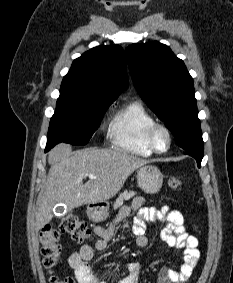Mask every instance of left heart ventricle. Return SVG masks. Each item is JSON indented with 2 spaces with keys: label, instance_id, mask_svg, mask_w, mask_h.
<instances>
[{
  "label": "left heart ventricle",
  "instance_id": "left-heart-ventricle-1",
  "mask_svg": "<svg viewBox=\"0 0 233 283\" xmlns=\"http://www.w3.org/2000/svg\"><path fill=\"white\" fill-rule=\"evenodd\" d=\"M155 144L159 149H164L167 146V137L164 132L159 131L155 136Z\"/></svg>",
  "mask_w": 233,
  "mask_h": 283
}]
</instances>
